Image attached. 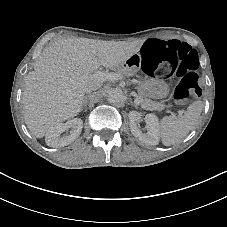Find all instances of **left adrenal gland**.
<instances>
[{
	"mask_svg": "<svg viewBox=\"0 0 227 227\" xmlns=\"http://www.w3.org/2000/svg\"><path fill=\"white\" fill-rule=\"evenodd\" d=\"M131 104H132V106H134L136 109H138V105H137V104H135V103H133V102H131Z\"/></svg>",
	"mask_w": 227,
	"mask_h": 227,
	"instance_id": "1",
	"label": "left adrenal gland"
}]
</instances>
